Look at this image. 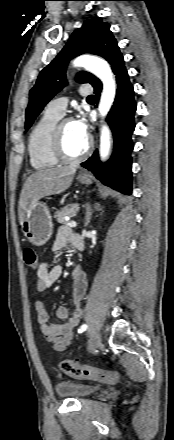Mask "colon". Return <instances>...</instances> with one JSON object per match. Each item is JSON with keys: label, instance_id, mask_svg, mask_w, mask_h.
Returning <instances> with one entry per match:
<instances>
[{"label": "colon", "instance_id": "obj_1", "mask_svg": "<svg viewBox=\"0 0 174 440\" xmlns=\"http://www.w3.org/2000/svg\"><path fill=\"white\" fill-rule=\"evenodd\" d=\"M23 258L27 267L32 270H38L39 264L37 255L32 248L24 249ZM59 368L62 372L68 375L77 378L92 379L103 383H116L118 379L115 372L80 365L69 359L62 360L59 364Z\"/></svg>", "mask_w": 174, "mask_h": 440}]
</instances>
